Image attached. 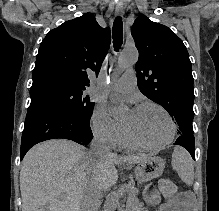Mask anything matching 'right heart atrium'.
Here are the masks:
<instances>
[{
	"label": "right heart atrium",
	"instance_id": "1",
	"mask_svg": "<svg viewBox=\"0 0 219 211\" xmlns=\"http://www.w3.org/2000/svg\"><path fill=\"white\" fill-rule=\"evenodd\" d=\"M90 121L96 139L111 147L120 143L123 126L112 119L104 107H95Z\"/></svg>",
	"mask_w": 219,
	"mask_h": 211
}]
</instances>
